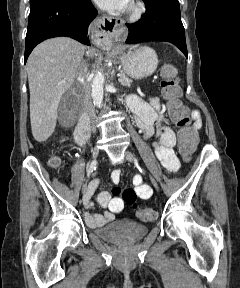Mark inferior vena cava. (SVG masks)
Listing matches in <instances>:
<instances>
[{"mask_svg": "<svg viewBox=\"0 0 240 288\" xmlns=\"http://www.w3.org/2000/svg\"><path fill=\"white\" fill-rule=\"evenodd\" d=\"M78 81L83 86L84 89V102H83V109H84V116L82 118V123L90 124V120L94 119L95 114V106L91 97V84L89 73L87 69H85L84 63H82L79 73H78Z\"/></svg>", "mask_w": 240, "mask_h": 288, "instance_id": "1", "label": "inferior vena cava"}]
</instances>
